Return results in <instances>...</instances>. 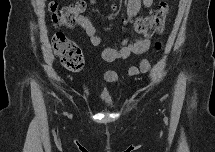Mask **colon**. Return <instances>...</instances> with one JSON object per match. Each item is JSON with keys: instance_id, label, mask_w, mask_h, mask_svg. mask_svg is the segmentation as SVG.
Returning <instances> with one entry per match:
<instances>
[{"instance_id": "colon-1", "label": "colon", "mask_w": 215, "mask_h": 152, "mask_svg": "<svg viewBox=\"0 0 215 152\" xmlns=\"http://www.w3.org/2000/svg\"><path fill=\"white\" fill-rule=\"evenodd\" d=\"M86 8L84 1H77L71 6L59 8L56 2L51 1L48 5L51 21L54 26H74L78 17ZM169 5L161 2L159 7L150 15L132 20L134 30L143 36H152L163 31L165 20L168 15ZM53 49L61 59L63 66L72 72H77L83 67V54L76 43L68 39L64 34L58 33L53 37ZM160 48V44H156Z\"/></svg>"}]
</instances>
